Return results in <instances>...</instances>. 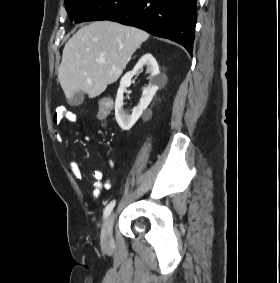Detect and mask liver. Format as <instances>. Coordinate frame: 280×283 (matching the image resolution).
I'll list each match as a JSON object with an SVG mask.
<instances>
[{
    "instance_id": "6515ba94",
    "label": "liver",
    "mask_w": 280,
    "mask_h": 283,
    "mask_svg": "<svg viewBox=\"0 0 280 283\" xmlns=\"http://www.w3.org/2000/svg\"><path fill=\"white\" fill-rule=\"evenodd\" d=\"M148 38L141 29L110 21L81 27L65 44L58 71L66 98L71 99L77 91L89 98L99 96L117 81L133 53Z\"/></svg>"
}]
</instances>
